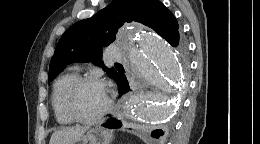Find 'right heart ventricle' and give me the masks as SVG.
Masks as SVG:
<instances>
[{"instance_id":"obj_1","label":"right heart ventricle","mask_w":260,"mask_h":144,"mask_svg":"<svg viewBox=\"0 0 260 144\" xmlns=\"http://www.w3.org/2000/svg\"><path fill=\"white\" fill-rule=\"evenodd\" d=\"M79 78L77 71L73 70L60 76L54 83L52 92V107L57 123L69 125L73 120L65 111L64 101L66 94L73 83Z\"/></svg>"}]
</instances>
